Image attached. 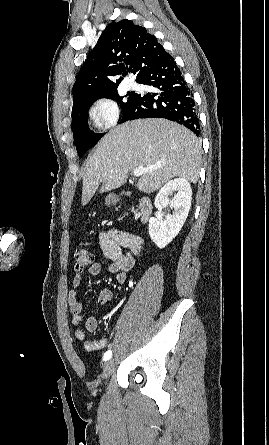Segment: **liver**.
Masks as SVG:
<instances>
[{
    "instance_id": "6515ba94",
    "label": "liver",
    "mask_w": 269,
    "mask_h": 445,
    "mask_svg": "<svg viewBox=\"0 0 269 445\" xmlns=\"http://www.w3.org/2000/svg\"><path fill=\"white\" fill-rule=\"evenodd\" d=\"M201 144L187 128L166 119H139L112 129L96 145L83 168L82 205L100 192L117 189L135 168L161 165L141 175L137 187L152 193L174 177L196 183Z\"/></svg>"
}]
</instances>
